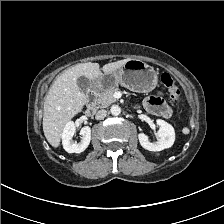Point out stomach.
I'll use <instances>...</instances> for the list:
<instances>
[{
    "mask_svg": "<svg viewBox=\"0 0 224 224\" xmlns=\"http://www.w3.org/2000/svg\"><path fill=\"white\" fill-rule=\"evenodd\" d=\"M158 73L154 68L138 59H129L116 71L102 73L94 85L99 90L108 89L120 84L132 91L147 93L155 89Z\"/></svg>",
    "mask_w": 224,
    "mask_h": 224,
    "instance_id": "0dacf381",
    "label": "stomach"
}]
</instances>
